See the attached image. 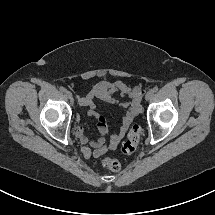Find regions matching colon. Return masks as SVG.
<instances>
[{"label":"colon","instance_id":"obj_1","mask_svg":"<svg viewBox=\"0 0 215 215\" xmlns=\"http://www.w3.org/2000/svg\"><path fill=\"white\" fill-rule=\"evenodd\" d=\"M141 127L139 125H134L128 132L127 139L122 146V152L126 155L133 154L139 143V139L141 136ZM101 163L104 167L109 169L112 172H119L121 170L120 162L112 157L105 156L101 159Z\"/></svg>","mask_w":215,"mask_h":215}]
</instances>
